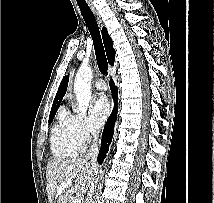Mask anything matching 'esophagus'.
Here are the masks:
<instances>
[{
  "instance_id": "1",
  "label": "esophagus",
  "mask_w": 214,
  "mask_h": 203,
  "mask_svg": "<svg viewBox=\"0 0 214 203\" xmlns=\"http://www.w3.org/2000/svg\"><path fill=\"white\" fill-rule=\"evenodd\" d=\"M91 9H92L93 13L95 14V16L97 17L99 24H101V20H100L97 10L93 6H91Z\"/></svg>"
}]
</instances>
